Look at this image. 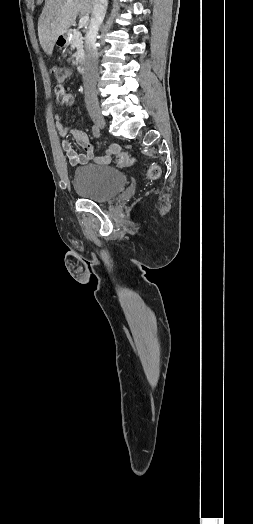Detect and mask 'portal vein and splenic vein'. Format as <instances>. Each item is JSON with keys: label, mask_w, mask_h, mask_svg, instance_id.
<instances>
[{"label": "portal vein and splenic vein", "mask_w": 253, "mask_h": 524, "mask_svg": "<svg viewBox=\"0 0 253 524\" xmlns=\"http://www.w3.org/2000/svg\"><path fill=\"white\" fill-rule=\"evenodd\" d=\"M88 21H89V16L87 15H84L80 18L79 20V25L80 26H84V25H87L88 24Z\"/></svg>", "instance_id": "obj_1"}]
</instances>
